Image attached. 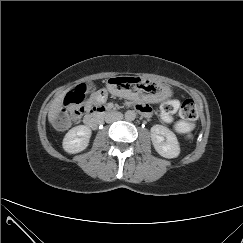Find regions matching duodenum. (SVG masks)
<instances>
[{"label": "duodenum", "mask_w": 243, "mask_h": 243, "mask_svg": "<svg viewBox=\"0 0 243 243\" xmlns=\"http://www.w3.org/2000/svg\"><path fill=\"white\" fill-rule=\"evenodd\" d=\"M111 113H115V110L106 106L94 107L86 114L84 118L85 124L88 127L95 129L101 124L103 119Z\"/></svg>", "instance_id": "obj_1"}]
</instances>
